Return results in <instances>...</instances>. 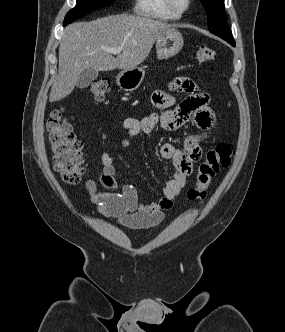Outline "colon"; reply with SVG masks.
I'll list each match as a JSON object with an SVG mask.
<instances>
[{"label": "colon", "instance_id": "5ec220e1", "mask_svg": "<svg viewBox=\"0 0 285 332\" xmlns=\"http://www.w3.org/2000/svg\"><path fill=\"white\" fill-rule=\"evenodd\" d=\"M196 59L200 65H208L217 59V53L207 45H200L196 50ZM108 89L109 83L105 79L94 81L89 87L91 96L96 102L104 99ZM46 127L55 170L66 183H78L85 172L82 141L76 137L62 109L51 113ZM233 153L228 144L217 145L206 152L197 170L195 186L187 193L189 199L202 202L206 198L212 179L222 169L229 167Z\"/></svg>", "mask_w": 285, "mask_h": 332}]
</instances>
